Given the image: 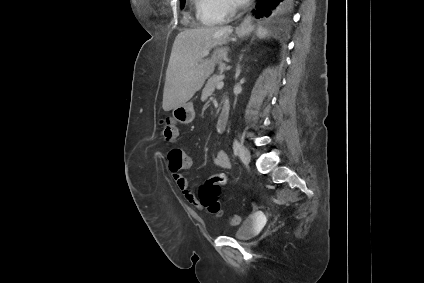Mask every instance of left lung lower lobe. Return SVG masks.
Listing matches in <instances>:
<instances>
[{"mask_svg":"<svg viewBox=\"0 0 424 283\" xmlns=\"http://www.w3.org/2000/svg\"><path fill=\"white\" fill-rule=\"evenodd\" d=\"M296 0H259L255 15L257 18H267L271 15L284 14L294 5Z\"/></svg>","mask_w":424,"mask_h":283,"instance_id":"left-lung-lower-lobe-1","label":"left lung lower lobe"}]
</instances>
